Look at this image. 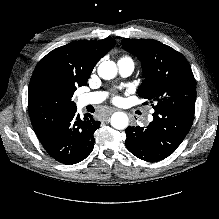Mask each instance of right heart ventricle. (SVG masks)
I'll list each match as a JSON object with an SVG mask.
<instances>
[{"mask_svg":"<svg viewBox=\"0 0 219 219\" xmlns=\"http://www.w3.org/2000/svg\"><path fill=\"white\" fill-rule=\"evenodd\" d=\"M121 59H130V58H129V57H126V56H124V57H122ZM121 59H120V60H121Z\"/></svg>","mask_w":219,"mask_h":219,"instance_id":"right-heart-ventricle-1","label":"right heart ventricle"}]
</instances>
